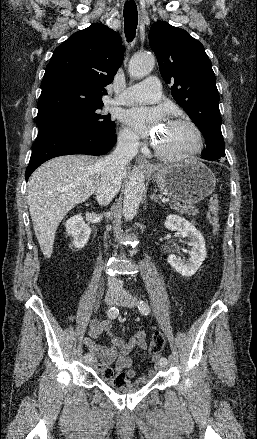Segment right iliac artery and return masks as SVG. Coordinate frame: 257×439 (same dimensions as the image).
<instances>
[{
	"label": "right iliac artery",
	"instance_id": "1",
	"mask_svg": "<svg viewBox=\"0 0 257 439\" xmlns=\"http://www.w3.org/2000/svg\"><path fill=\"white\" fill-rule=\"evenodd\" d=\"M119 314V310L116 307H111L108 311H107V316L110 319H114L118 316ZM85 360H90L92 359V356L90 353H86L84 356Z\"/></svg>",
	"mask_w": 257,
	"mask_h": 439
}]
</instances>
